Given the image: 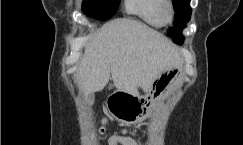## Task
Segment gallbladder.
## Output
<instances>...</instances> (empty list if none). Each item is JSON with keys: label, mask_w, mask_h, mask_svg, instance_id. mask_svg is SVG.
<instances>
[{"label": "gallbladder", "mask_w": 243, "mask_h": 145, "mask_svg": "<svg viewBox=\"0 0 243 145\" xmlns=\"http://www.w3.org/2000/svg\"><path fill=\"white\" fill-rule=\"evenodd\" d=\"M93 97H94V95L92 94V95H91V98H93Z\"/></svg>", "instance_id": "1"}]
</instances>
